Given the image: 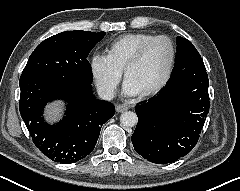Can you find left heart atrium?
<instances>
[{
	"mask_svg": "<svg viewBox=\"0 0 240 191\" xmlns=\"http://www.w3.org/2000/svg\"><path fill=\"white\" fill-rule=\"evenodd\" d=\"M123 91L128 96H135L140 93L139 89L127 78L124 82Z\"/></svg>",
	"mask_w": 240,
	"mask_h": 191,
	"instance_id": "1",
	"label": "left heart atrium"
}]
</instances>
